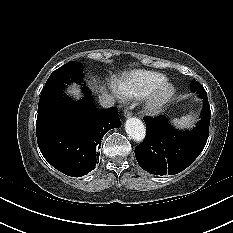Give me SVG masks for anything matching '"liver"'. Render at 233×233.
<instances>
[{
  "label": "liver",
  "mask_w": 233,
  "mask_h": 233,
  "mask_svg": "<svg viewBox=\"0 0 233 233\" xmlns=\"http://www.w3.org/2000/svg\"><path fill=\"white\" fill-rule=\"evenodd\" d=\"M102 90V89H101ZM70 94L74 95L75 97L79 98L80 95V89L76 86L73 85V87L71 89H69L68 91Z\"/></svg>",
  "instance_id": "obj_1"
}]
</instances>
